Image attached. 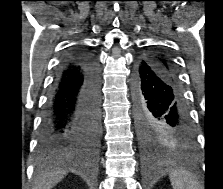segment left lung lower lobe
<instances>
[{
	"mask_svg": "<svg viewBox=\"0 0 223 189\" xmlns=\"http://www.w3.org/2000/svg\"><path fill=\"white\" fill-rule=\"evenodd\" d=\"M133 97L138 128L160 124L181 143L192 144L195 136L181 86L161 64L138 61L133 75Z\"/></svg>",
	"mask_w": 223,
	"mask_h": 189,
	"instance_id": "left-lung-lower-lobe-1",
	"label": "left lung lower lobe"
}]
</instances>
